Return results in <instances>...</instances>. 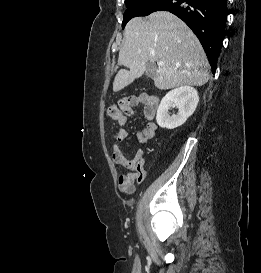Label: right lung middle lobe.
Wrapping results in <instances>:
<instances>
[{
	"instance_id": "right-lung-middle-lobe-1",
	"label": "right lung middle lobe",
	"mask_w": 261,
	"mask_h": 273,
	"mask_svg": "<svg viewBox=\"0 0 261 273\" xmlns=\"http://www.w3.org/2000/svg\"><path fill=\"white\" fill-rule=\"evenodd\" d=\"M152 0H125L128 9L124 13L122 28L133 17L140 16L139 8L145 3H149Z\"/></svg>"
}]
</instances>
